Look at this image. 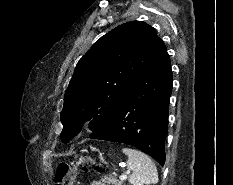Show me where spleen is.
Instances as JSON below:
<instances>
[{"mask_svg":"<svg viewBox=\"0 0 233 185\" xmlns=\"http://www.w3.org/2000/svg\"><path fill=\"white\" fill-rule=\"evenodd\" d=\"M122 151L128 156L127 167L132 171L128 180L132 185L158 182L157 168L149 156L132 148H123Z\"/></svg>","mask_w":233,"mask_h":185,"instance_id":"obj_1","label":"spleen"}]
</instances>
